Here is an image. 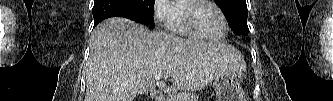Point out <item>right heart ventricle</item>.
<instances>
[{
    "label": "right heart ventricle",
    "instance_id": "obj_1",
    "mask_svg": "<svg viewBox=\"0 0 333 101\" xmlns=\"http://www.w3.org/2000/svg\"><path fill=\"white\" fill-rule=\"evenodd\" d=\"M186 1H176L174 4V14L170 23V28L178 35L186 37H194V35L188 30L185 20L183 8Z\"/></svg>",
    "mask_w": 333,
    "mask_h": 101
}]
</instances>
